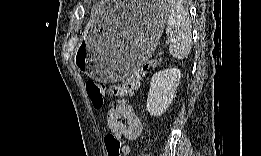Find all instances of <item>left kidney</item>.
Segmentation results:
<instances>
[{"instance_id": "obj_1", "label": "left kidney", "mask_w": 261, "mask_h": 156, "mask_svg": "<svg viewBox=\"0 0 261 156\" xmlns=\"http://www.w3.org/2000/svg\"><path fill=\"white\" fill-rule=\"evenodd\" d=\"M181 71L170 68L155 73L150 82L146 109L153 116H161L171 104L179 81Z\"/></svg>"}]
</instances>
